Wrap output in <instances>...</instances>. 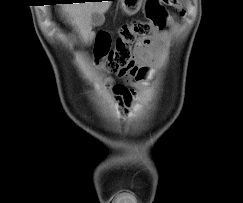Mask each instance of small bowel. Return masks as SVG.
Wrapping results in <instances>:
<instances>
[{"mask_svg":"<svg viewBox=\"0 0 243 203\" xmlns=\"http://www.w3.org/2000/svg\"><path fill=\"white\" fill-rule=\"evenodd\" d=\"M166 23L170 27H174V17L169 15ZM168 37L169 32L162 28L156 30L152 37L139 40L134 48L130 66L120 72L118 76L127 84L132 82L144 84L148 76L149 66L162 54L168 41ZM107 85L112 87L118 104L127 111L134 98L133 90L125 87L124 85L114 84V79L112 77L107 78Z\"/></svg>","mask_w":243,"mask_h":203,"instance_id":"obj_1","label":"small bowel"}]
</instances>
